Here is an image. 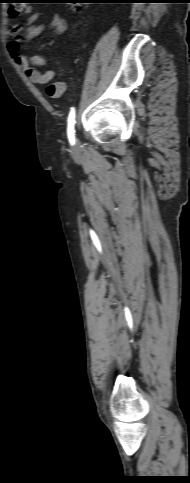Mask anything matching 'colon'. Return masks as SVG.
<instances>
[{
	"label": "colon",
	"instance_id": "colon-1",
	"mask_svg": "<svg viewBox=\"0 0 190 483\" xmlns=\"http://www.w3.org/2000/svg\"><path fill=\"white\" fill-rule=\"evenodd\" d=\"M9 4V14L13 17L27 15L31 10L33 0H12ZM75 8H78L77 6Z\"/></svg>",
	"mask_w": 190,
	"mask_h": 483
}]
</instances>
